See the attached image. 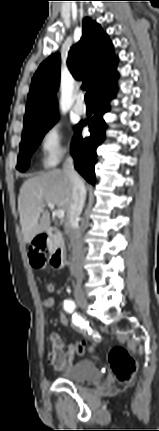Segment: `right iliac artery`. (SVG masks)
Segmentation results:
<instances>
[{
  "mask_svg": "<svg viewBox=\"0 0 159 431\" xmlns=\"http://www.w3.org/2000/svg\"><path fill=\"white\" fill-rule=\"evenodd\" d=\"M64 309L69 312L72 313L75 310V303L72 300H65L64 301ZM73 322L75 323V325L80 326L82 328L84 327H88L87 324H85L80 317H78L76 314L73 315Z\"/></svg>",
  "mask_w": 159,
  "mask_h": 431,
  "instance_id": "right-iliac-artery-1",
  "label": "right iliac artery"
}]
</instances>
